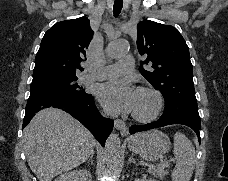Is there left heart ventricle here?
<instances>
[{"label": "left heart ventricle", "instance_id": "b2bd125f", "mask_svg": "<svg viewBox=\"0 0 228 181\" xmlns=\"http://www.w3.org/2000/svg\"><path fill=\"white\" fill-rule=\"evenodd\" d=\"M120 76H121L120 72H116L113 75L114 78H119L117 80L122 81V79H120ZM153 106H154V98L150 93L146 91H139L137 93V96L135 98L136 112L140 114H148L152 110Z\"/></svg>", "mask_w": 228, "mask_h": 181}]
</instances>
